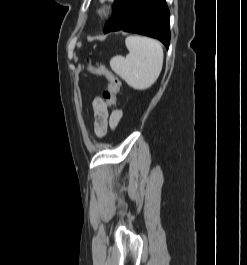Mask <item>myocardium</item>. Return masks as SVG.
<instances>
[{"label":"myocardium","instance_id":"obj_1","mask_svg":"<svg viewBox=\"0 0 247 265\" xmlns=\"http://www.w3.org/2000/svg\"><path fill=\"white\" fill-rule=\"evenodd\" d=\"M111 6L105 3H101L95 10V14L99 18H105L111 13Z\"/></svg>","mask_w":247,"mask_h":265}]
</instances>
